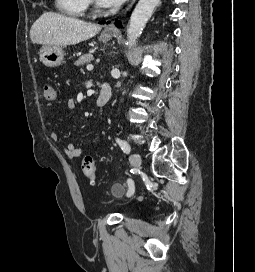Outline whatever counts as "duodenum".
Returning a JSON list of instances; mask_svg holds the SVG:
<instances>
[{"label": "duodenum", "instance_id": "obj_1", "mask_svg": "<svg viewBox=\"0 0 255 272\" xmlns=\"http://www.w3.org/2000/svg\"><path fill=\"white\" fill-rule=\"evenodd\" d=\"M112 95H113V92L110 85L107 83H102L100 93L97 98V105L99 107L105 106L111 100Z\"/></svg>", "mask_w": 255, "mask_h": 272}]
</instances>
